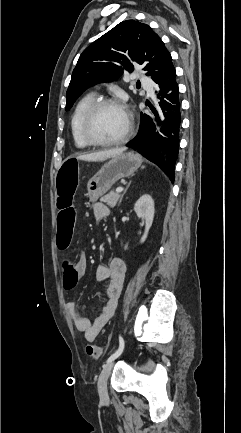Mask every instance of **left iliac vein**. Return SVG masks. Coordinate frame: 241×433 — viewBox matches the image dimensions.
Returning a JSON list of instances; mask_svg holds the SVG:
<instances>
[{"mask_svg":"<svg viewBox=\"0 0 241 433\" xmlns=\"http://www.w3.org/2000/svg\"><path fill=\"white\" fill-rule=\"evenodd\" d=\"M113 365H114V361L107 363V365L103 368L98 379V393L101 400L104 401L108 399L107 380L111 373Z\"/></svg>","mask_w":241,"mask_h":433,"instance_id":"4c4485c4","label":"left iliac vein"}]
</instances>
